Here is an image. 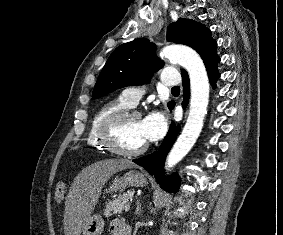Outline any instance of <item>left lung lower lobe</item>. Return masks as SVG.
Masks as SVG:
<instances>
[{"label": "left lung lower lobe", "instance_id": "0a47b994", "mask_svg": "<svg viewBox=\"0 0 283 235\" xmlns=\"http://www.w3.org/2000/svg\"><path fill=\"white\" fill-rule=\"evenodd\" d=\"M207 73L211 84L214 86L216 80L219 77V73L217 70V63L207 68ZM183 91H184V101L182 102L183 107H185L188 103L189 99V77L188 75L183 77ZM174 108V105L171 109ZM179 126H175L174 123H171L169 131L157 151L152 154L134 159L133 162L142 166L145 170H147L151 175H155L157 183L160 186L168 191V192H177L179 188L180 179L177 175H173L170 178H167L164 175L163 167L165 158L172 147L173 143L176 140L177 133L179 132Z\"/></svg>", "mask_w": 283, "mask_h": 235}]
</instances>
